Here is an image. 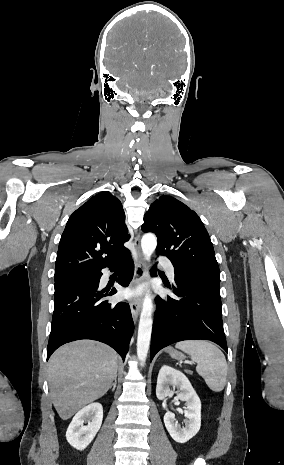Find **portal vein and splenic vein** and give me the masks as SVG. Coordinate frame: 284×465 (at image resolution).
I'll use <instances>...</instances> for the list:
<instances>
[{
	"mask_svg": "<svg viewBox=\"0 0 284 465\" xmlns=\"http://www.w3.org/2000/svg\"><path fill=\"white\" fill-rule=\"evenodd\" d=\"M189 365H195V363H189Z\"/></svg>",
	"mask_w": 284,
	"mask_h": 465,
	"instance_id": "obj_1",
	"label": "portal vein and splenic vein"
}]
</instances>
